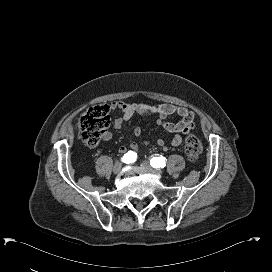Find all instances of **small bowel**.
Instances as JSON below:
<instances>
[{
	"mask_svg": "<svg viewBox=\"0 0 272 272\" xmlns=\"http://www.w3.org/2000/svg\"><path fill=\"white\" fill-rule=\"evenodd\" d=\"M112 110H119L122 117L116 118L113 122L115 129H120L125 120L132 118L135 114L141 115H157V124L162 126L168 132L174 133V136L170 142L172 146H178L182 142V135L188 134L194 125V113L187 108L177 107L171 104H158L147 105L144 103H126V102H113L111 103ZM179 116L181 120L178 123L167 122L166 118L169 116ZM135 136H140L141 128L135 127L133 130ZM103 141H110L112 139V133L105 131L102 137ZM149 142H144V145H148ZM156 145L165 148V142L162 139L156 140ZM139 149V145L136 142H132L129 145H122L119 148L120 153L136 152Z\"/></svg>",
	"mask_w": 272,
	"mask_h": 272,
	"instance_id": "obj_1",
	"label": "small bowel"
}]
</instances>
